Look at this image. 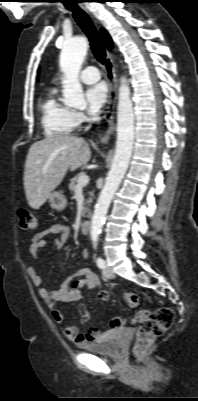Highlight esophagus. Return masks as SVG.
<instances>
[{
	"label": "esophagus",
	"mask_w": 198,
	"mask_h": 401,
	"mask_svg": "<svg viewBox=\"0 0 198 401\" xmlns=\"http://www.w3.org/2000/svg\"><path fill=\"white\" fill-rule=\"evenodd\" d=\"M105 70H106L107 82L109 85V94L104 118L108 123V128L104 133V135H102L100 138L101 143H107L111 135L115 131V105L117 97V79H116L115 65L109 52L107 53Z\"/></svg>",
	"instance_id": "esophagus-1"
}]
</instances>
